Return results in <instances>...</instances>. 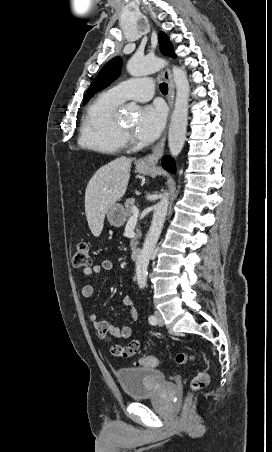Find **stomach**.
I'll return each mask as SVG.
<instances>
[{"mask_svg":"<svg viewBox=\"0 0 272 452\" xmlns=\"http://www.w3.org/2000/svg\"><path fill=\"white\" fill-rule=\"evenodd\" d=\"M136 170L142 174H149L152 171L151 167L139 163L136 164ZM107 220L115 227L122 226L126 221L124 207L119 203L113 204L107 211Z\"/></svg>","mask_w":272,"mask_h":452,"instance_id":"1","label":"stomach"}]
</instances>
